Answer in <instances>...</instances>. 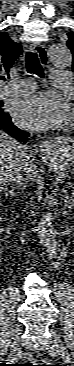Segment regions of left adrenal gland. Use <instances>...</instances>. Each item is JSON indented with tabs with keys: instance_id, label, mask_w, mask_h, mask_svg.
<instances>
[{
	"instance_id": "a2214340",
	"label": "left adrenal gland",
	"mask_w": 74,
	"mask_h": 366,
	"mask_svg": "<svg viewBox=\"0 0 74 366\" xmlns=\"http://www.w3.org/2000/svg\"><path fill=\"white\" fill-rule=\"evenodd\" d=\"M63 192H65V200H64V208H66V206H68V203H69V196H68V194H67V191L66 190H63Z\"/></svg>"
}]
</instances>
